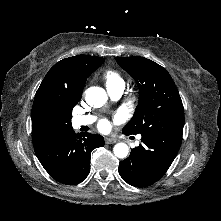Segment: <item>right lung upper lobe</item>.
Instances as JSON below:
<instances>
[{"label": "right lung upper lobe", "mask_w": 221, "mask_h": 221, "mask_svg": "<svg viewBox=\"0 0 221 221\" xmlns=\"http://www.w3.org/2000/svg\"><path fill=\"white\" fill-rule=\"evenodd\" d=\"M104 58L78 55L56 63L39 86L32 107L34 148L62 136L72 129L71 112L81 100L87 77Z\"/></svg>", "instance_id": "cb5924a9"}]
</instances>
